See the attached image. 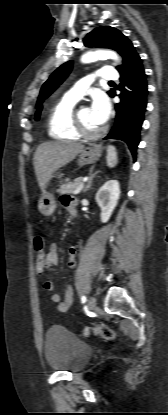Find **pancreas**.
Returning <instances> with one entry per match:
<instances>
[{
	"label": "pancreas",
	"mask_w": 168,
	"mask_h": 415,
	"mask_svg": "<svg viewBox=\"0 0 168 415\" xmlns=\"http://www.w3.org/2000/svg\"><path fill=\"white\" fill-rule=\"evenodd\" d=\"M82 183V178H77L72 182H66L60 186L57 190L60 194H74L75 190L79 187Z\"/></svg>",
	"instance_id": "1"
}]
</instances>
